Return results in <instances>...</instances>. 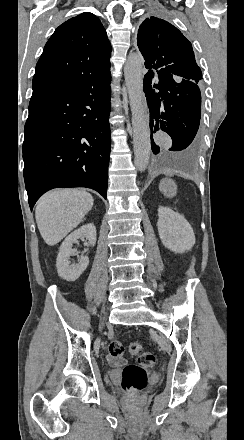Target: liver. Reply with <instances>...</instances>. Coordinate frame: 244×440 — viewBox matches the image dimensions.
<instances>
[{"label":"liver","instance_id":"obj_1","mask_svg":"<svg viewBox=\"0 0 244 440\" xmlns=\"http://www.w3.org/2000/svg\"><path fill=\"white\" fill-rule=\"evenodd\" d=\"M94 200L85 190H52L37 202L38 230L48 246L61 242L92 210Z\"/></svg>","mask_w":244,"mask_h":440}]
</instances>
